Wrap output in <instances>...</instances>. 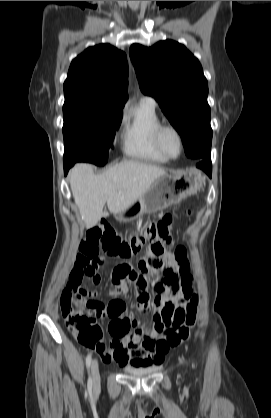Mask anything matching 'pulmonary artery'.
<instances>
[{"label": "pulmonary artery", "mask_w": 271, "mask_h": 418, "mask_svg": "<svg viewBox=\"0 0 271 418\" xmlns=\"http://www.w3.org/2000/svg\"><path fill=\"white\" fill-rule=\"evenodd\" d=\"M141 101L155 105V100L152 97L144 96Z\"/></svg>", "instance_id": "1"}]
</instances>
